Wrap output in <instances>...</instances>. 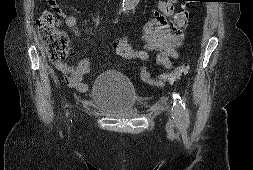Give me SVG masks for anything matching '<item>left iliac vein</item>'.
<instances>
[{"mask_svg":"<svg viewBox=\"0 0 253 170\" xmlns=\"http://www.w3.org/2000/svg\"><path fill=\"white\" fill-rule=\"evenodd\" d=\"M173 123H174L173 120L170 119V120H169V124H170V125H173Z\"/></svg>","mask_w":253,"mask_h":170,"instance_id":"left-iliac-vein-1","label":"left iliac vein"}]
</instances>
